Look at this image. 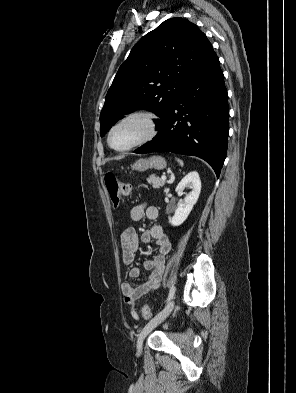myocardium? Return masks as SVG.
I'll return each instance as SVG.
<instances>
[{
  "label": "myocardium",
  "instance_id": "myocardium-1",
  "mask_svg": "<svg viewBox=\"0 0 296 393\" xmlns=\"http://www.w3.org/2000/svg\"><path fill=\"white\" fill-rule=\"evenodd\" d=\"M141 119L143 120L146 125H147V133L145 134V136H143L141 139H139L138 141L134 142L133 144L125 147V148H114L111 144V135L112 132L114 131V129L119 126L120 124H122L123 122L130 120V119ZM158 133V119L157 116L149 111H133L130 112L126 115H124L123 117H121L120 119H118L109 129L108 134H107V143L109 145V147L116 151V152H124V151H128L131 149H134L136 147H139L141 145H144L148 142H150L151 140H153L156 135Z\"/></svg>",
  "mask_w": 296,
  "mask_h": 393
}]
</instances>
